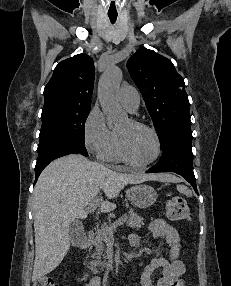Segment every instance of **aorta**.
<instances>
[{"mask_svg": "<svg viewBox=\"0 0 231 286\" xmlns=\"http://www.w3.org/2000/svg\"><path fill=\"white\" fill-rule=\"evenodd\" d=\"M121 80L122 71L116 66L108 68L99 80L98 99L102 110L106 114L107 126L109 128L120 126L128 118L117 98Z\"/></svg>", "mask_w": 231, "mask_h": 286, "instance_id": "obj_1", "label": "aorta"}]
</instances>
